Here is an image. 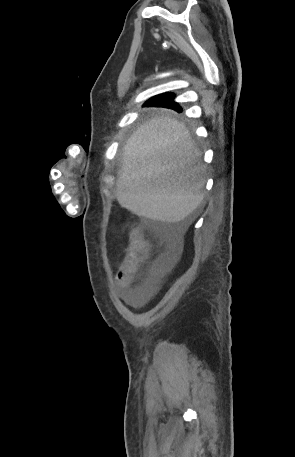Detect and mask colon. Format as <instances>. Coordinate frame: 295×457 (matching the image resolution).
<instances>
[{
  "instance_id": "obj_1",
  "label": "colon",
  "mask_w": 295,
  "mask_h": 457,
  "mask_svg": "<svg viewBox=\"0 0 295 457\" xmlns=\"http://www.w3.org/2000/svg\"><path fill=\"white\" fill-rule=\"evenodd\" d=\"M148 255V244L138 230H133L129 238L127 255L120 273L133 275L143 264Z\"/></svg>"
}]
</instances>
